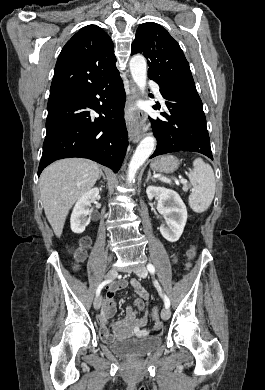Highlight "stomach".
<instances>
[{"label": "stomach", "instance_id": "obj_1", "mask_svg": "<svg viewBox=\"0 0 265 390\" xmlns=\"http://www.w3.org/2000/svg\"><path fill=\"white\" fill-rule=\"evenodd\" d=\"M179 160L173 155H165L155 158L150 167L159 173H173L179 167Z\"/></svg>", "mask_w": 265, "mask_h": 390}]
</instances>
